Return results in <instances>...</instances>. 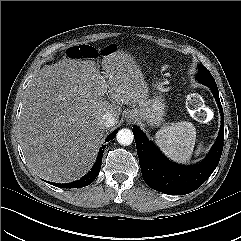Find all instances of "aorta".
Instances as JSON below:
<instances>
[{
	"mask_svg": "<svg viewBox=\"0 0 241 241\" xmlns=\"http://www.w3.org/2000/svg\"><path fill=\"white\" fill-rule=\"evenodd\" d=\"M116 138L119 144L128 146L133 142L134 135L130 129L124 128L118 131Z\"/></svg>",
	"mask_w": 241,
	"mask_h": 241,
	"instance_id": "1",
	"label": "aorta"
}]
</instances>
